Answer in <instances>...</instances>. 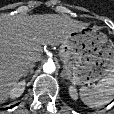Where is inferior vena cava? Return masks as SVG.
<instances>
[{"label": "inferior vena cava", "mask_w": 114, "mask_h": 114, "mask_svg": "<svg viewBox=\"0 0 114 114\" xmlns=\"http://www.w3.org/2000/svg\"><path fill=\"white\" fill-rule=\"evenodd\" d=\"M32 65H34V63H31L29 66H30V68L32 67Z\"/></svg>", "instance_id": "1"}]
</instances>
